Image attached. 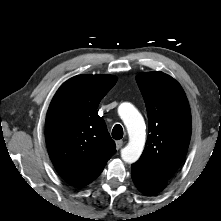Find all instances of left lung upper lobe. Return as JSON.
I'll return each instance as SVG.
<instances>
[{
    "mask_svg": "<svg viewBox=\"0 0 221 221\" xmlns=\"http://www.w3.org/2000/svg\"><path fill=\"white\" fill-rule=\"evenodd\" d=\"M136 81L146 104L149 125L145 149L136 163L169 180L189 146V103L179 83L162 72L141 73Z\"/></svg>",
    "mask_w": 221,
    "mask_h": 221,
    "instance_id": "left-lung-upper-lobe-1",
    "label": "left lung upper lobe"
}]
</instances>
